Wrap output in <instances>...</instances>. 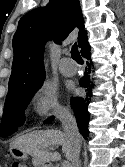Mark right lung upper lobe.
<instances>
[{
  "label": "right lung upper lobe",
  "mask_w": 125,
  "mask_h": 167,
  "mask_svg": "<svg viewBox=\"0 0 125 167\" xmlns=\"http://www.w3.org/2000/svg\"><path fill=\"white\" fill-rule=\"evenodd\" d=\"M79 28L78 45L87 41L79 0H50L45 8L24 15L13 37V64L6 98L31 91L43 84L44 45L48 39L61 44L68 34Z\"/></svg>",
  "instance_id": "1"
}]
</instances>
